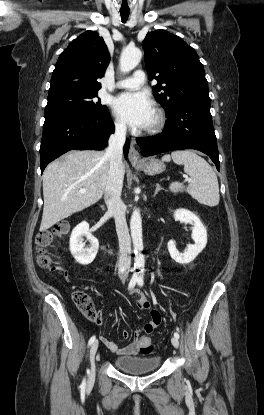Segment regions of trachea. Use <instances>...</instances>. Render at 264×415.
<instances>
[{
  "label": "trachea",
  "mask_w": 264,
  "mask_h": 415,
  "mask_svg": "<svg viewBox=\"0 0 264 415\" xmlns=\"http://www.w3.org/2000/svg\"><path fill=\"white\" fill-rule=\"evenodd\" d=\"M120 15H121V20H122V22H123V23H125V22H126V20H127V19H128V17H129V12H125V13L120 12Z\"/></svg>",
  "instance_id": "obj_1"
}]
</instances>
